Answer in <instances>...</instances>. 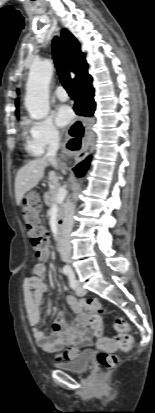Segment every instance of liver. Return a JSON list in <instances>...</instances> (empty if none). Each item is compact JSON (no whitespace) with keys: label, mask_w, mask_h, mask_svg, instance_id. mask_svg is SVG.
I'll list each match as a JSON object with an SVG mask.
<instances>
[{"label":"liver","mask_w":155,"mask_h":413,"mask_svg":"<svg viewBox=\"0 0 155 413\" xmlns=\"http://www.w3.org/2000/svg\"><path fill=\"white\" fill-rule=\"evenodd\" d=\"M50 162L46 157L29 161L17 172L15 178V198L19 206L26 192L37 186L44 176V171ZM51 164V163H50ZM54 167H58L54 166Z\"/></svg>","instance_id":"obj_1"}]
</instances>
